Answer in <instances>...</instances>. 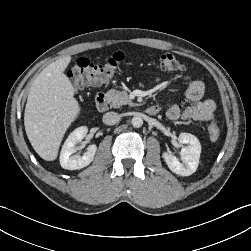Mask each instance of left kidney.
<instances>
[{"label": "left kidney", "mask_w": 251, "mask_h": 251, "mask_svg": "<svg viewBox=\"0 0 251 251\" xmlns=\"http://www.w3.org/2000/svg\"><path fill=\"white\" fill-rule=\"evenodd\" d=\"M178 141L185 146L180 152V160L173 154L164 152L162 157L169 169L180 176H190L198 167L201 144L198 138L190 133H181Z\"/></svg>", "instance_id": "5707ae66"}]
</instances>
